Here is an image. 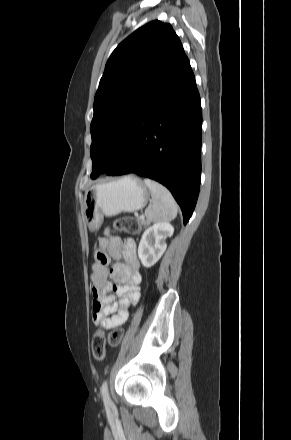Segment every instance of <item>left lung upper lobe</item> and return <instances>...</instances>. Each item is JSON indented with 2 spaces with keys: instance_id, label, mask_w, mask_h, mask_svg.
<instances>
[{
  "instance_id": "1",
  "label": "left lung upper lobe",
  "mask_w": 291,
  "mask_h": 440,
  "mask_svg": "<svg viewBox=\"0 0 291 440\" xmlns=\"http://www.w3.org/2000/svg\"><path fill=\"white\" fill-rule=\"evenodd\" d=\"M185 56L171 25L158 20L133 32L113 51L94 99L92 179L112 164L151 99Z\"/></svg>"
}]
</instances>
